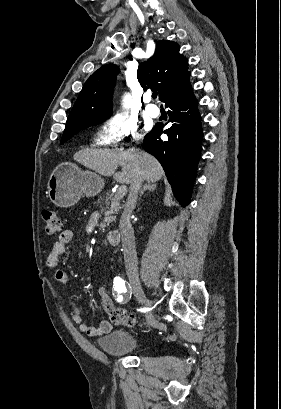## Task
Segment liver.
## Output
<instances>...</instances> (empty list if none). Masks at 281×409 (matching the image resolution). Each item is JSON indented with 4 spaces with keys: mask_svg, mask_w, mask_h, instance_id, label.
<instances>
[{
    "mask_svg": "<svg viewBox=\"0 0 281 409\" xmlns=\"http://www.w3.org/2000/svg\"><path fill=\"white\" fill-rule=\"evenodd\" d=\"M74 160L81 162L87 168L103 176H113L121 184H130L135 174V164L139 162L140 170L144 172L143 180H161L164 170L151 154L140 148H127V150H111V148H83L74 154ZM121 164V172H115Z\"/></svg>",
    "mask_w": 281,
    "mask_h": 409,
    "instance_id": "obj_1",
    "label": "liver"
}]
</instances>
